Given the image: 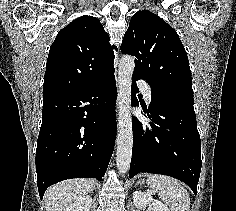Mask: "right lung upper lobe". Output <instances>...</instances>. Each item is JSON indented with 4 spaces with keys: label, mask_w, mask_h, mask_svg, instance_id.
I'll return each instance as SVG.
<instances>
[{
    "label": "right lung upper lobe",
    "mask_w": 236,
    "mask_h": 211,
    "mask_svg": "<svg viewBox=\"0 0 236 211\" xmlns=\"http://www.w3.org/2000/svg\"><path fill=\"white\" fill-rule=\"evenodd\" d=\"M100 21L81 16L60 30L50 47L43 98L83 91L114 72V51Z\"/></svg>",
    "instance_id": "1"
}]
</instances>
